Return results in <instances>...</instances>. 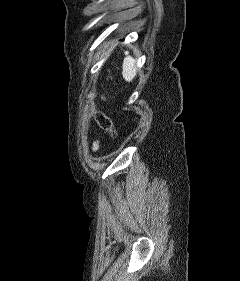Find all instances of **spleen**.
I'll list each match as a JSON object with an SVG mask.
<instances>
[{"instance_id": "3e777b00", "label": "spleen", "mask_w": 240, "mask_h": 281, "mask_svg": "<svg viewBox=\"0 0 240 281\" xmlns=\"http://www.w3.org/2000/svg\"><path fill=\"white\" fill-rule=\"evenodd\" d=\"M136 73V60L133 59L130 55H127L123 61V78L125 79V81L131 82L135 78Z\"/></svg>"}]
</instances>
